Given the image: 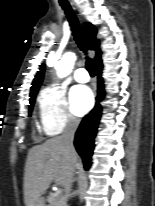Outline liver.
<instances>
[{"label": "liver", "instance_id": "obj_1", "mask_svg": "<svg viewBox=\"0 0 155 206\" xmlns=\"http://www.w3.org/2000/svg\"><path fill=\"white\" fill-rule=\"evenodd\" d=\"M77 163V153H68L61 137H54L42 145L32 147L25 165V205L35 206L53 181L65 186Z\"/></svg>", "mask_w": 155, "mask_h": 206}]
</instances>
